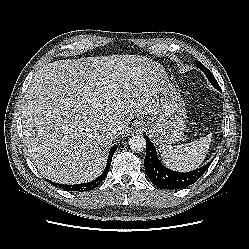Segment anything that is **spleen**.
I'll list each match as a JSON object with an SVG mask.
<instances>
[{
	"mask_svg": "<svg viewBox=\"0 0 249 249\" xmlns=\"http://www.w3.org/2000/svg\"><path fill=\"white\" fill-rule=\"evenodd\" d=\"M211 135L178 146L162 145L159 152L165 165L173 170L187 172L197 169L204 161Z\"/></svg>",
	"mask_w": 249,
	"mask_h": 249,
	"instance_id": "spleen-1",
	"label": "spleen"
}]
</instances>
